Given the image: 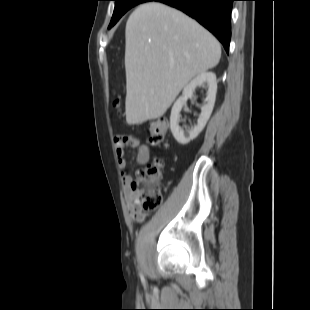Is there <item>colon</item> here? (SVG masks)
<instances>
[{"mask_svg": "<svg viewBox=\"0 0 310 310\" xmlns=\"http://www.w3.org/2000/svg\"><path fill=\"white\" fill-rule=\"evenodd\" d=\"M148 140L154 146L161 145L168 132L165 120H156L148 126ZM162 162L157 160L154 164L136 172L134 179L130 181V191L135 195V202L146 211L159 208L163 201V195L159 186L160 169Z\"/></svg>", "mask_w": 310, "mask_h": 310, "instance_id": "colon-1", "label": "colon"}]
</instances>
